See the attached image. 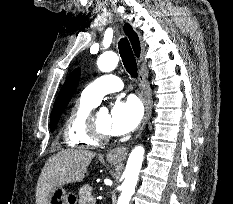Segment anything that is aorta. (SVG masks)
<instances>
[{"label": "aorta", "instance_id": "aorta-1", "mask_svg": "<svg viewBox=\"0 0 233 204\" xmlns=\"http://www.w3.org/2000/svg\"><path fill=\"white\" fill-rule=\"evenodd\" d=\"M118 61L119 58L116 53L107 52L99 57L97 66L102 72H110L116 68ZM143 157L144 148L142 146H136L131 151L124 171L125 180L122 184V191L117 204H129L131 197L135 192Z\"/></svg>", "mask_w": 233, "mask_h": 204}]
</instances>
